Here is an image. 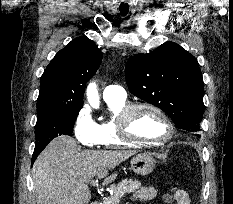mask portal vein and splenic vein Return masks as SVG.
<instances>
[{
	"label": "portal vein and splenic vein",
	"mask_w": 233,
	"mask_h": 204,
	"mask_svg": "<svg viewBox=\"0 0 233 204\" xmlns=\"http://www.w3.org/2000/svg\"><path fill=\"white\" fill-rule=\"evenodd\" d=\"M96 183H97V181H95V180L91 181V185H95Z\"/></svg>",
	"instance_id": "obj_1"
}]
</instances>
